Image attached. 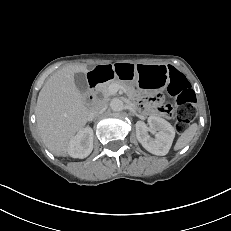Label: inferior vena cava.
Returning a JSON list of instances; mask_svg holds the SVG:
<instances>
[{"label":"inferior vena cava","mask_w":231,"mask_h":231,"mask_svg":"<svg viewBox=\"0 0 231 231\" xmlns=\"http://www.w3.org/2000/svg\"><path fill=\"white\" fill-rule=\"evenodd\" d=\"M106 109V104L103 101H98L94 104V106L91 109L90 116L95 117L98 116L100 113H102Z\"/></svg>","instance_id":"inferior-vena-cava-1"}]
</instances>
